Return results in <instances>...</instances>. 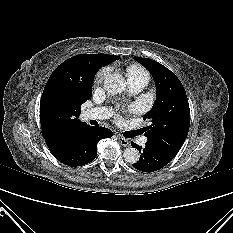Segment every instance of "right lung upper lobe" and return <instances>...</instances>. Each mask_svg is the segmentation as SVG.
<instances>
[{
	"label": "right lung upper lobe",
	"mask_w": 233,
	"mask_h": 233,
	"mask_svg": "<svg viewBox=\"0 0 233 233\" xmlns=\"http://www.w3.org/2000/svg\"><path fill=\"white\" fill-rule=\"evenodd\" d=\"M117 59L119 56L108 54H80L67 59L53 71L40 101L42 135L51 152L58 151L67 145L78 128L86 123L78 119L79 115H72L61 122L51 121L46 115L48 99L58 98L64 102L74 100L90 81L88 64L95 65L99 70Z\"/></svg>",
	"instance_id": "obj_1"
}]
</instances>
